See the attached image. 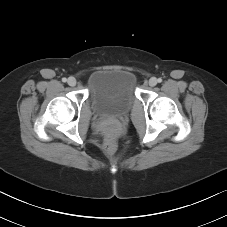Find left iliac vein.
<instances>
[{
    "mask_svg": "<svg viewBox=\"0 0 227 227\" xmlns=\"http://www.w3.org/2000/svg\"><path fill=\"white\" fill-rule=\"evenodd\" d=\"M148 84L149 86L154 87L157 84V79L155 77L150 78Z\"/></svg>",
    "mask_w": 227,
    "mask_h": 227,
    "instance_id": "obj_1",
    "label": "left iliac vein"
}]
</instances>
